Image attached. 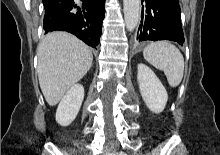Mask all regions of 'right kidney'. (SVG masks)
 Returning <instances> with one entry per match:
<instances>
[{
    "mask_svg": "<svg viewBox=\"0 0 220 155\" xmlns=\"http://www.w3.org/2000/svg\"><path fill=\"white\" fill-rule=\"evenodd\" d=\"M84 98V88L75 84L62 98L56 111V121L61 126L70 125L76 118Z\"/></svg>",
    "mask_w": 220,
    "mask_h": 155,
    "instance_id": "1",
    "label": "right kidney"
}]
</instances>
